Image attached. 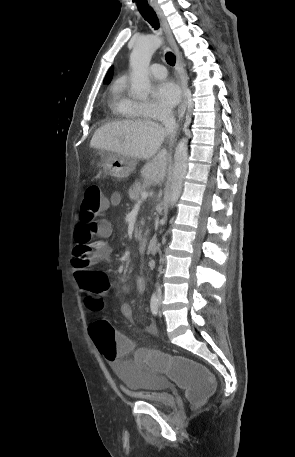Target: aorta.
Instances as JSON below:
<instances>
[{"label": "aorta", "instance_id": "aorta-1", "mask_svg": "<svg viewBox=\"0 0 295 457\" xmlns=\"http://www.w3.org/2000/svg\"><path fill=\"white\" fill-rule=\"evenodd\" d=\"M161 38L157 35H149L140 38L130 55L131 90L137 98L148 97L151 91L149 80V64L154 52L161 46ZM188 167L187 139L182 138L174 154V168L171 179L170 205L173 207L178 201Z\"/></svg>", "mask_w": 295, "mask_h": 457}]
</instances>
